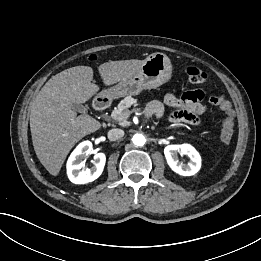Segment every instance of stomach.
Instances as JSON below:
<instances>
[{
	"instance_id": "0dacf381",
	"label": "stomach",
	"mask_w": 261,
	"mask_h": 261,
	"mask_svg": "<svg viewBox=\"0 0 261 261\" xmlns=\"http://www.w3.org/2000/svg\"><path fill=\"white\" fill-rule=\"evenodd\" d=\"M171 76L172 64L169 57L164 53H153L132 77L118 82L102 94L111 99L138 95L142 90L155 89L168 82Z\"/></svg>"
}]
</instances>
